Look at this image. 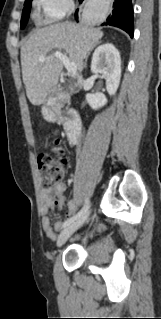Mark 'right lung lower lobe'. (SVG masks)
Instances as JSON below:
<instances>
[{"instance_id":"right-lung-lower-lobe-1","label":"right lung lower lobe","mask_w":161,"mask_h":319,"mask_svg":"<svg viewBox=\"0 0 161 319\" xmlns=\"http://www.w3.org/2000/svg\"><path fill=\"white\" fill-rule=\"evenodd\" d=\"M75 19H78V10L75 12ZM103 25L119 27L133 37V8L131 0H114L112 14L108 16Z\"/></svg>"}]
</instances>
